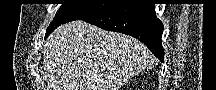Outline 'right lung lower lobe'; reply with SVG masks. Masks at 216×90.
I'll list each match as a JSON object with an SVG mask.
<instances>
[{
  "label": "right lung lower lobe",
  "instance_id": "obj_1",
  "mask_svg": "<svg viewBox=\"0 0 216 90\" xmlns=\"http://www.w3.org/2000/svg\"><path fill=\"white\" fill-rule=\"evenodd\" d=\"M104 30L121 32L143 42L161 61L163 24L156 17L154 4H115L109 9L81 19Z\"/></svg>",
  "mask_w": 216,
  "mask_h": 90
}]
</instances>
